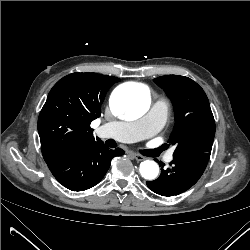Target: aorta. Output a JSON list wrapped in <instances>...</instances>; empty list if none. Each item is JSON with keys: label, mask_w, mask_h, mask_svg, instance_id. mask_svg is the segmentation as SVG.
<instances>
[{"label": "aorta", "mask_w": 250, "mask_h": 250, "mask_svg": "<svg viewBox=\"0 0 250 250\" xmlns=\"http://www.w3.org/2000/svg\"><path fill=\"white\" fill-rule=\"evenodd\" d=\"M150 103L149 91L140 85L117 88L110 98L112 113L127 120L142 117L148 111ZM139 170L143 178L153 180L159 173V166L154 161L146 160L141 162Z\"/></svg>", "instance_id": "1"}]
</instances>
